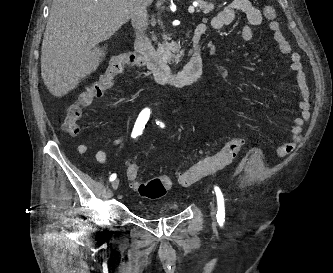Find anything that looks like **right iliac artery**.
<instances>
[{
  "label": "right iliac artery",
  "mask_w": 333,
  "mask_h": 273,
  "mask_svg": "<svg viewBox=\"0 0 333 273\" xmlns=\"http://www.w3.org/2000/svg\"><path fill=\"white\" fill-rule=\"evenodd\" d=\"M150 114H151V111L149 108H145L140 112V114L135 122L132 134H131L132 138H136L137 136L142 134V132L145 128V125L149 120ZM115 178H116V174H112L110 176V181L115 180Z\"/></svg>",
  "instance_id": "obj_1"
}]
</instances>
